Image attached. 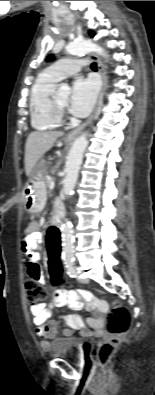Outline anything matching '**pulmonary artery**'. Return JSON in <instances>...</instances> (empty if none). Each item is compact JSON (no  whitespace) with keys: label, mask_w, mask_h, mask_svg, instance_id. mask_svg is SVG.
Segmentation results:
<instances>
[{"label":"pulmonary artery","mask_w":155,"mask_h":395,"mask_svg":"<svg viewBox=\"0 0 155 395\" xmlns=\"http://www.w3.org/2000/svg\"><path fill=\"white\" fill-rule=\"evenodd\" d=\"M85 65L86 61L84 59H62L49 66L46 72L57 81H60L68 76L76 74Z\"/></svg>","instance_id":"obj_1"}]
</instances>
